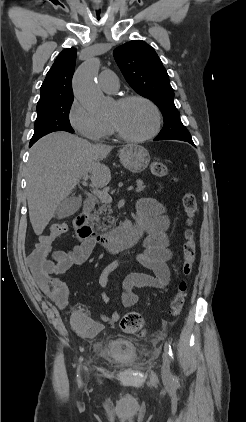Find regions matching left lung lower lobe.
Returning a JSON list of instances; mask_svg holds the SVG:
<instances>
[{"mask_svg":"<svg viewBox=\"0 0 246 422\" xmlns=\"http://www.w3.org/2000/svg\"><path fill=\"white\" fill-rule=\"evenodd\" d=\"M157 140H159V139H157V138L154 139V141H157ZM183 141L189 142L190 144H192L193 146H195L194 143H193V141H192V139L183 140Z\"/></svg>","mask_w":246,"mask_h":422,"instance_id":"1","label":"left lung lower lobe"}]
</instances>
